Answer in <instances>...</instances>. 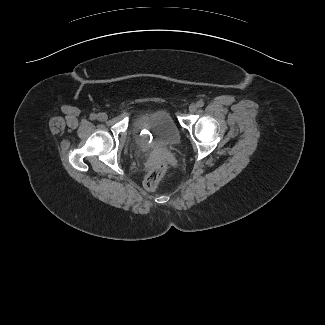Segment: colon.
<instances>
[{
    "label": "colon",
    "mask_w": 325,
    "mask_h": 325,
    "mask_svg": "<svg viewBox=\"0 0 325 325\" xmlns=\"http://www.w3.org/2000/svg\"><path fill=\"white\" fill-rule=\"evenodd\" d=\"M168 170V165L165 162L156 164L144 179V187L147 190L154 191L158 188L161 179L164 177Z\"/></svg>",
    "instance_id": "obj_1"
}]
</instances>
